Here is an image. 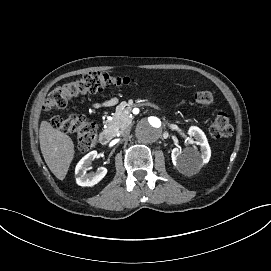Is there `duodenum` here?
Returning <instances> with one entry per match:
<instances>
[{
  "label": "duodenum",
  "mask_w": 271,
  "mask_h": 271,
  "mask_svg": "<svg viewBox=\"0 0 271 271\" xmlns=\"http://www.w3.org/2000/svg\"><path fill=\"white\" fill-rule=\"evenodd\" d=\"M113 139V132L109 129H104L100 132L99 140L102 144L106 145Z\"/></svg>",
  "instance_id": "duodenum-1"
}]
</instances>
